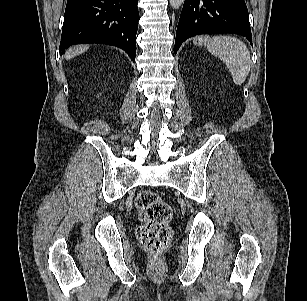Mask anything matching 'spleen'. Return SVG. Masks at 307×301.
<instances>
[{"label":"spleen","mask_w":307,"mask_h":301,"mask_svg":"<svg viewBox=\"0 0 307 301\" xmlns=\"http://www.w3.org/2000/svg\"><path fill=\"white\" fill-rule=\"evenodd\" d=\"M207 49L226 64L236 85L244 83L250 71L251 58L249 49L242 41L218 35L208 41Z\"/></svg>","instance_id":"spleen-1"}]
</instances>
